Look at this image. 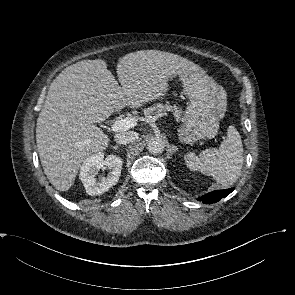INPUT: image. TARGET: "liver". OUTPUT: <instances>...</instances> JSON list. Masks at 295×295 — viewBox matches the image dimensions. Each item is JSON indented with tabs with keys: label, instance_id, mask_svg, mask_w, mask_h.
<instances>
[{
	"label": "liver",
	"instance_id": "6515ba94",
	"mask_svg": "<svg viewBox=\"0 0 295 295\" xmlns=\"http://www.w3.org/2000/svg\"><path fill=\"white\" fill-rule=\"evenodd\" d=\"M204 72L177 54L141 50L118 61L117 76L101 59L82 60L65 68L51 83L36 126L41 165L58 191L74 184L81 164L105 150L110 139L95 123L105 121L123 101L139 108L159 99L174 76Z\"/></svg>",
	"mask_w": 295,
	"mask_h": 295
}]
</instances>
